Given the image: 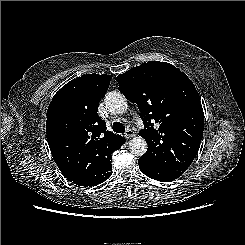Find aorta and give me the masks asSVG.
I'll use <instances>...</instances> for the list:
<instances>
[{
    "label": "aorta",
    "instance_id": "obj_1",
    "mask_svg": "<svg viewBox=\"0 0 245 245\" xmlns=\"http://www.w3.org/2000/svg\"><path fill=\"white\" fill-rule=\"evenodd\" d=\"M105 105L112 114H123L127 110V100L120 92L112 91L105 97ZM129 151L135 156H142L147 151V142L144 138L137 136L130 140Z\"/></svg>",
    "mask_w": 245,
    "mask_h": 245
}]
</instances>
